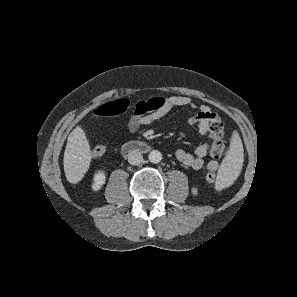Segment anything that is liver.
<instances>
[{
  "label": "liver",
  "mask_w": 297,
  "mask_h": 297,
  "mask_svg": "<svg viewBox=\"0 0 297 297\" xmlns=\"http://www.w3.org/2000/svg\"><path fill=\"white\" fill-rule=\"evenodd\" d=\"M91 163L90 146L85 132L77 126L68 136L64 151V172L69 183H78Z\"/></svg>",
  "instance_id": "1"
}]
</instances>
